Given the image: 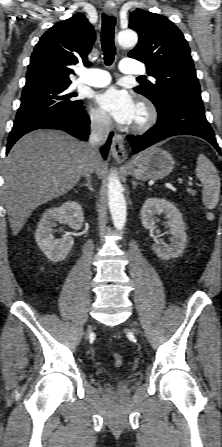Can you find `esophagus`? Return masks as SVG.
<instances>
[{
  "mask_svg": "<svg viewBox=\"0 0 222 447\" xmlns=\"http://www.w3.org/2000/svg\"><path fill=\"white\" fill-rule=\"evenodd\" d=\"M104 10L106 14L109 16H116V9L115 7L110 3L106 2L104 6ZM111 152L113 157L119 162L122 163L127 158V151L124 146V136L121 134L116 133L113 136L112 144H111Z\"/></svg>",
  "mask_w": 222,
  "mask_h": 447,
  "instance_id": "34e87169",
  "label": "esophagus"
}]
</instances>
